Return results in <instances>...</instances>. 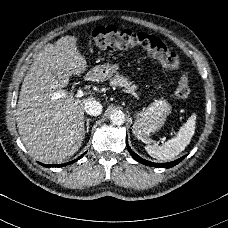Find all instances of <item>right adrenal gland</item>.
Segmentation results:
<instances>
[{
	"label": "right adrenal gland",
	"instance_id": "obj_1",
	"mask_svg": "<svg viewBox=\"0 0 228 228\" xmlns=\"http://www.w3.org/2000/svg\"><path fill=\"white\" fill-rule=\"evenodd\" d=\"M89 124H90L89 119H86V131L87 132L89 131Z\"/></svg>",
	"mask_w": 228,
	"mask_h": 228
}]
</instances>
